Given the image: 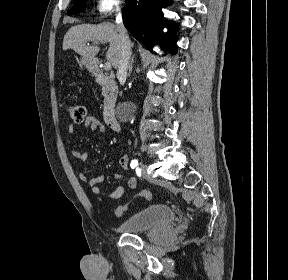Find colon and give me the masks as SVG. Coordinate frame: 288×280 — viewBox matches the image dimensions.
Here are the masks:
<instances>
[{"instance_id":"5ec220e1","label":"colon","mask_w":288,"mask_h":280,"mask_svg":"<svg viewBox=\"0 0 288 280\" xmlns=\"http://www.w3.org/2000/svg\"><path fill=\"white\" fill-rule=\"evenodd\" d=\"M68 112H69L71 119L75 123H81L85 119L86 110H85L84 106H82V105H77V104L69 105L68 106ZM137 198L143 199L145 201H149L151 199V194L148 191H141L137 195ZM128 207H129V203L118 206L115 209V215L117 217H121L127 211Z\"/></svg>"}]
</instances>
